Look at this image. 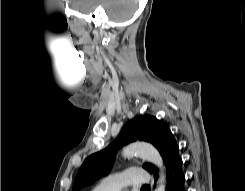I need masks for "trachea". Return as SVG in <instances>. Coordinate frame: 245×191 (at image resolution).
Listing matches in <instances>:
<instances>
[{
	"instance_id": "3493384b",
	"label": "trachea",
	"mask_w": 245,
	"mask_h": 191,
	"mask_svg": "<svg viewBox=\"0 0 245 191\" xmlns=\"http://www.w3.org/2000/svg\"><path fill=\"white\" fill-rule=\"evenodd\" d=\"M149 188H150L149 185H144V186L141 187V189H143V190H144V189H149Z\"/></svg>"
}]
</instances>
